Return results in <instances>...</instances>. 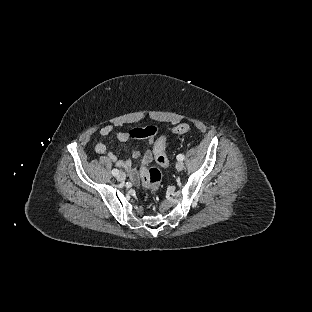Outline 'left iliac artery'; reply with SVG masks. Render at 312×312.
Masks as SVG:
<instances>
[{"instance_id":"left-iliac-artery-1","label":"left iliac artery","mask_w":312,"mask_h":312,"mask_svg":"<svg viewBox=\"0 0 312 312\" xmlns=\"http://www.w3.org/2000/svg\"><path fill=\"white\" fill-rule=\"evenodd\" d=\"M177 159L180 160V161H183L184 160V155H182V154L177 155Z\"/></svg>"}]
</instances>
